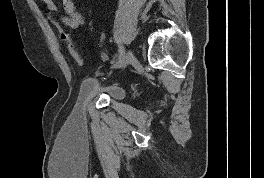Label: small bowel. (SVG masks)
<instances>
[{
	"mask_svg": "<svg viewBox=\"0 0 264 178\" xmlns=\"http://www.w3.org/2000/svg\"><path fill=\"white\" fill-rule=\"evenodd\" d=\"M41 2L47 11L51 13L58 12L57 5L52 0H36ZM64 13L60 16L61 23L71 29H78L82 27L85 22V16L78 10L75 0H61ZM101 57L106 59L107 56L101 52Z\"/></svg>",
	"mask_w": 264,
	"mask_h": 178,
	"instance_id": "small-bowel-1",
	"label": "small bowel"
}]
</instances>
